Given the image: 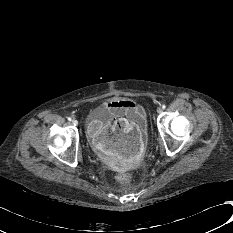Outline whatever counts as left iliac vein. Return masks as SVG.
Listing matches in <instances>:
<instances>
[{
  "label": "left iliac vein",
  "instance_id": "4c4485c4",
  "mask_svg": "<svg viewBox=\"0 0 233 233\" xmlns=\"http://www.w3.org/2000/svg\"><path fill=\"white\" fill-rule=\"evenodd\" d=\"M157 112H158V113H161V112H162V108H161V107H158V108H157Z\"/></svg>",
  "mask_w": 233,
  "mask_h": 233
}]
</instances>
